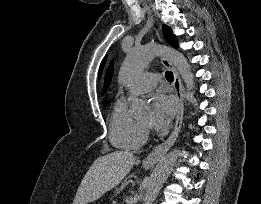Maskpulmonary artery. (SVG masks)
Wrapping results in <instances>:
<instances>
[{"label":"pulmonary artery","mask_w":261,"mask_h":204,"mask_svg":"<svg viewBox=\"0 0 261 204\" xmlns=\"http://www.w3.org/2000/svg\"><path fill=\"white\" fill-rule=\"evenodd\" d=\"M158 82V76L153 73H144L139 76L131 87V91L140 94L153 89Z\"/></svg>","instance_id":"obj_1"}]
</instances>
